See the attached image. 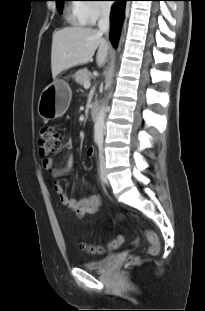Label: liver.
Returning a JSON list of instances; mask_svg holds the SVG:
<instances>
[{"label":"liver","instance_id":"liver-1","mask_svg":"<svg viewBox=\"0 0 205 311\" xmlns=\"http://www.w3.org/2000/svg\"><path fill=\"white\" fill-rule=\"evenodd\" d=\"M97 29L91 27H66L54 32L51 49V70L55 78L62 71L86 64L98 48L96 62H106L109 43Z\"/></svg>","mask_w":205,"mask_h":311}]
</instances>
